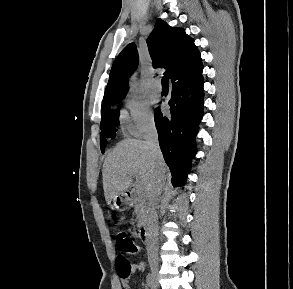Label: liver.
<instances>
[{
	"label": "liver",
	"mask_w": 293,
	"mask_h": 289,
	"mask_svg": "<svg viewBox=\"0 0 293 289\" xmlns=\"http://www.w3.org/2000/svg\"><path fill=\"white\" fill-rule=\"evenodd\" d=\"M160 169L165 175L168 168L162 158H156L145 141L126 139L118 143L103 163V189L107 203L125 192L136 177L145 193Z\"/></svg>",
	"instance_id": "obj_1"
}]
</instances>
